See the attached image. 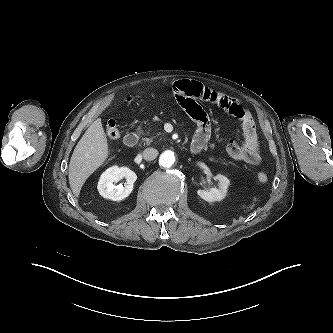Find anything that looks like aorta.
<instances>
[{
    "label": "aorta",
    "instance_id": "obj_1",
    "mask_svg": "<svg viewBox=\"0 0 333 333\" xmlns=\"http://www.w3.org/2000/svg\"><path fill=\"white\" fill-rule=\"evenodd\" d=\"M176 157L173 151L167 150L162 153L159 159V165L163 168H170L175 163Z\"/></svg>",
    "mask_w": 333,
    "mask_h": 333
}]
</instances>
